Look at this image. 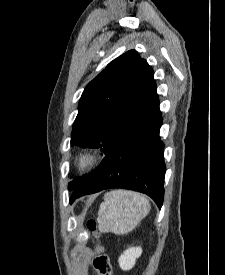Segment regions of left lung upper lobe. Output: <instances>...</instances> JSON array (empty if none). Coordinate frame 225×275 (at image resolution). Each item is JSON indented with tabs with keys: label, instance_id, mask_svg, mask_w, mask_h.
Segmentation results:
<instances>
[{
	"label": "left lung upper lobe",
	"instance_id": "left-lung-upper-lobe-1",
	"mask_svg": "<svg viewBox=\"0 0 225 275\" xmlns=\"http://www.w3.org/2000/svg\"><path fill=\"white\" fill-rule=\"evenodd\" d=\"M154 73L137 51L119 56L84 89L73 124L71 145L110 152L158 99ZM74 179L69 190L84 179Z\"/></svg>",
	"mask_w": 225,
	"mask_h": 275
}]
</instances>
